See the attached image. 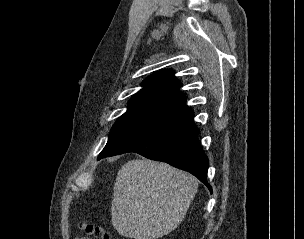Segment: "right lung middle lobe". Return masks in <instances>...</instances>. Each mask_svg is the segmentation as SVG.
Wrapping results in <instances>:
<instances>
[{"label":"right lung middle lobe","instance_id":"right-lung-middle-lobe-1","mask_svg":"<svg viewBox=\"0 0 304 239\" xmlns=\"http://www.w3.org/2000/svg\"><path fill=\"white\" fill-rule=\"evenodd\" d=\"M167 122L165 118L147 113H124L113 125L108 142L99 154L98 160Z\"/></svg>","mask_w":304,"mask_h":239}]
</instances>
